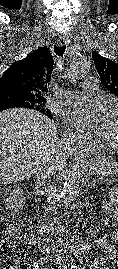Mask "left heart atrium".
<instances>
[{
	"label": "left heart atrium",
	"instance_id": "obj_1",
	"mask_svg": "<svg viewBox=\"0 0 118 269\" xmlns=\"http://www.w3.org/2000/svg\"><path fill=\"white\" fill-rule=\"evenodd\" d=\"M106 116L103 105H81L69 111L66 120L80 134L99 135Z\"/></svg>",
	"mask_w": 118,
	"mask_h": 269
}]
</instances>
